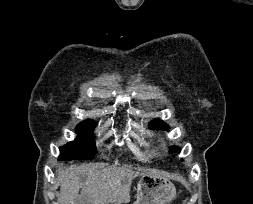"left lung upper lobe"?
Returning a JSON list of instances; mask_svg holds the SVG:
<instances>
[{
    "label": "left lung upper lobe",
    "instance_id": "5c2ea615",
    "mask_svg": "<svg viewBox=\"0 0 253 204\" xmlns=\"http://www.w3.org/2000/svg\"><path fill=\"white\" fill-rule=\"evenodd\" d=\"M150 127H151V129L168 130V125H167L165 122H163V121H161V120H159V119L153 120V121L150 123ZM178 149H179V147L172 146V147L170 148V152L173 153V152L177 151Z\"/></svg>",
    "mask_w": 253,
    "mask_h": 204
}]
</instances>
